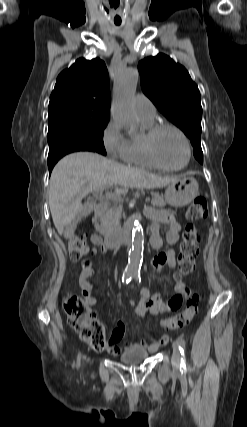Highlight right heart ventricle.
Wrapping results in <instances>:
<instances>
[{"label":"right heart ventricle","mask_w":247,"mask_h":427,"mask_svg":"<svg viewBox=\"0 0 247 427\" xmlns=\"http://www.w3.org/2000/svg\"><path fill=\"white\" fill-rule=\"evenodd\" d=\"M140 121L144 130H147L155 123L154 119H140ZM126 162L148 168L155 167L145 153L143 135L128 139Z\"/></svg>","instance_id":"right-heart-ventricle-1"}]
</instances>
